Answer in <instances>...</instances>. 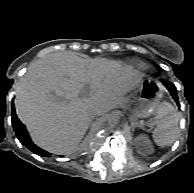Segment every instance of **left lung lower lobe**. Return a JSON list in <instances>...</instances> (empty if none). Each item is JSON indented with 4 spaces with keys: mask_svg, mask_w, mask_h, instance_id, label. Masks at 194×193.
<instances>
[{
    "mask_svg": "<svg viewBox=\"0 0 194 193\" xmlns=\"http://www.w3.org/2000/svg\"><path fill=\"white\" fill-rule=\"evenodd\" d=\"M162 82L166 86V88L169 90V92L171 93V95L174 98V100L176 101V103L179 105V101L177 98V90H176L175 86L167 80H162Z\"/></svg>",
    "mask_w": 194,
    "mask_h": 193,
    "instance_id": "1",
    "label": "left lung lower lobe"
}]
</instances>
